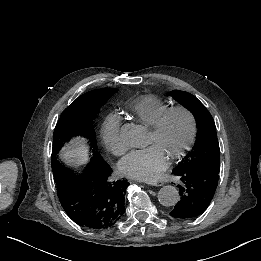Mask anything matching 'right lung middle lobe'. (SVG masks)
<instances>
[{"label": "right lung middle lobe", "mask_w": 261, "mask_h": 261, "mask_svg": "<svg viewBox=\"0 0 261 261\" xmlns=\"http://www.w3.org/2000/svg\"><path fill=\"white\" fill-rule=\"evenodd\" d=\"M116 92L117 89L113 88L87 92L74 100L62 112L53 134L51 162L55 180H58L67 171V168L60 163L57 154L73 136H82L89 140L92 152L90 163L103 160L97 151L96 135L92 122L100 107Z\"/></svg>", "instance_id": "dd1d6c3e"}]
</instances>
